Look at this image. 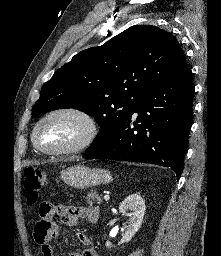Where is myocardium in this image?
Masks as SVG:
<instances>
[{
  "label": "myocardium",
  "mask_w": 221,
  "mask_h": 256,
  "mask_svg": "<svg viewBox=\"0 0 221 256\" xmlns=\"http://www.w3.org/2000/svg\"><path fill=\"white\" fill-rule=\"evenodd\" d=\"M58 115H72L80 119L84 124V133L78 141H76L75 143L69 146L62 147V148H55V149L45 148L38 143V140H37L38 131L43 123H45L47 120L51 119L52 117H55ZM99 132H100L99 124L96 118L90 112L76 106H64V107H58L49 111L36 123L32 131V142L38 150H40L45 154L65 155L70 153H76L83 149L88 148L97 139Z\"/></svg>",
  "instance_id": "obj_1"
}]
</instances>
